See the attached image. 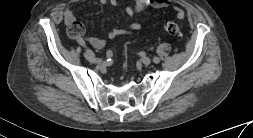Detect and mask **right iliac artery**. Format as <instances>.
I'll list each match as a JSON object with an SVG mask.
<instances>
[{"instance_id": "82829eb1", "label": "right iliac artery", "mask_w": 253, "mask_h": 138, "mask_svg": "<svg viewBox=\"0 0 253 138\" xmlns=\"http://www.w3.org/2000/svg\"><path fill=\"white\" fill-rule=\"evenodd\" d=\"M77 42L78 44L80 45V47L89 55L93 56L94 57V54L92 53V49L88 46V44L81 38V37H78L77 38ZM112 53L110 51H108L106 53V57L109 58L111 57Z\"/></svg>"}]
</instances>
